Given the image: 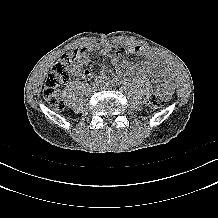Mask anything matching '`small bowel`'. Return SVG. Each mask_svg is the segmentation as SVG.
<instances>
[{
	"mask_svg": "<svg viewBox=\"0 0 218 218\" xmlns=\"http://www.w3.org/2000/svg\"><path fill=\"white\" fill-rule=\"evenodd\" d=\"M114 48V43L105 42L101 45H90L88 47L79 49V53L71 68V74L75 77L84 79L93 77V72L90 69L84 67L89 64V54L99 51L102 56H110L113 64H117L120 58L125 60L124 66L118 67L115 72V78L118 82H123L127 75L134 73L147 74L154 80L162 83L166 91V100L171 98L174 90V85L171 79L167 76L168 70L165 68L164 63L155 53L140 46H131L128 48L120 49L117 56H112L111 52ZM130 55H139L144 57L145 60L141 63H135L133 61L127 60ZM110 74L111 70L108 67L102 68L101 75L103 77H106ZM163 77H166L165 81H162Z\"/></svg>",
	"mask_w": 218,
	"mask_h": 218,
	"instance_id": "small-bowel-1",
	"label": "small bowel"
}]
</instances>
